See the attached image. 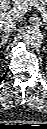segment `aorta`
I'll use <instances>...</instances> for the list:
<instances>
[{"label":"aorta","instance_id":"1","mask_svg":"<svg viewBox=\"0 0 47 129\" xmlns=\"http://www.w3.org/2000/svg\"><path fill=\"white\" fill-rule=\"evenodd\" d=\"M22 39L27 46L37 47L43 42V34L40 29L30 27L24 30Z\"/></svg>","mask_w":47,"mask_h":129}]
</instances>
